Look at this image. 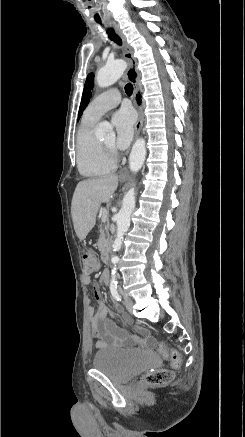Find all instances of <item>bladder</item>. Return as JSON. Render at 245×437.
I'll return each instance as SVG.
<instances>
[{"label": "bladder", "instance_id": "1", "mask_svg": "<svg viewBox=\"0 0 245 437\" xmlns=\"http://www.w3.org/2000/svg\"><path fill=\"white\" fill-rule=\"evenodd\" d=\"M156 364L157 357L153 352L118 348L98 351L92 362L95 370L119 384L127 383L138 374L155 367Z\"/></svg>", "mask_w": 245, "mask_h": 437}]
</instances>
